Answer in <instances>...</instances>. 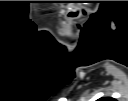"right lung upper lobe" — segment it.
<instances>
[{
    "label": "right lung upper lobe",
    "mask_w": 128,
    "mask_h": 101,
    "mask_svg": "<svg viewBox=\"0 0 128 101\" xmlns=\"http://www.w3.org/2000/svg\"><path fill=\"white\" fill-rule=\"evenodd\" d=\"M103 100H105V101H113L114 99H112L110 97H105V98H103Z\"/></svg>",
    "instance_id": "cb5924a9"
}]
</instances>
